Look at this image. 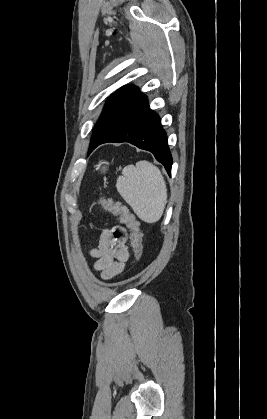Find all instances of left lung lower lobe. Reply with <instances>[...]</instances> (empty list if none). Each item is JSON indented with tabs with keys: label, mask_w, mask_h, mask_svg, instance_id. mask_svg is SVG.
Wrapping results in <instances>:
<instances>
[{
	"label": "left lung lower lobe",
	"mask_w": 267,
	"mask_h": 419,
	"mask_svg": "<svg viewBox=\"0 0 267 419\" xmlns=\"http://www.w3.org/2000/svg\"><path fill=\"white\" fill-rule=\"evenodd\" d=\"M107 142H129L140 149L150 151L157 161L171 173L172 156L167 145V135L159 116L150 110L147 97L139 93L124 110L116 112L114 124L108 132L90 145L89 153Z\"/></svg>",
	"instance_id": "1"
}]
</instances>
